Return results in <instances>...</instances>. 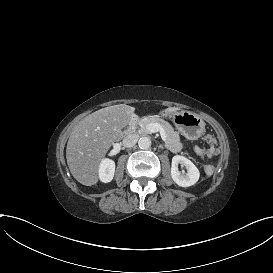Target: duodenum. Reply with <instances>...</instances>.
Returning <instances> with one entry per match:
<instances>
[{
	"label": "duodenum",
	"instance_id": "obj_1",
	"mask_svg": "<svg viewBox=\"0 0 273 273\" xmlns=\"http://www.w3.org/2000/svg\"><path fill=\"white\" fill-rule=\"evenodd\" d=\"M137 120H138V115H133L128 123V126L127 128L125 129V132L127 134L131 133L134 131L135 129V126H136V123H137Z\"/></svg>",
	"mask_w": 273,
	"mask_h": 273
}]
</instances>
